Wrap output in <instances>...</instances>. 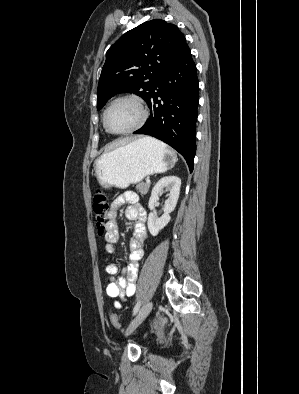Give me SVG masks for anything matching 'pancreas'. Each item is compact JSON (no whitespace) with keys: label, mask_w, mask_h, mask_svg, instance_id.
I'll use <instances>...</instances> for the list:
<instances>
[{"label":"pancreas","mask_w":299,"mask_h":394,"mask_svg":"<svg viewBox=\"0 0 299 394\" xmlns=\"http://www.w3.org/2000/svg\"><path fill=\"white\" fill-rule=\"evenodd\" d=\"M149 187H150V184H147V183H139L137 186H136V190L138 191V192H140L142 195H146L147 194V192H148V190H149Z\"/></svg>","instance_id":"cf45deb5"}]
</instances>
